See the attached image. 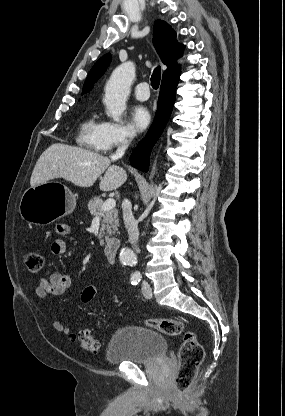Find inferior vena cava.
<instances>
[{"instance_id": "1", "label": "inferior vena cava", "mask_w": 285, "mask_h": 416, "mask_svg": "<svg viewBox=\"0 0 285 416\" xmlns=\"http://www.w3.org/2000/svg\"><path fill=\"white\" fill-rule=\"evenodd\" d=\"M127 138H129L127 134H124L123 138H121V146L117 148V152H115V154H112V156H110L112 162H115V160H119V158H122V156H124L130 142V140H127ZM122 210L125 228L129 236V242H131V244H136L139 236L138 222H136L132 214V206L129 200H123ZM135 250L136 252H139L138 248H135Z\"/></svg>"}]
</instances>
